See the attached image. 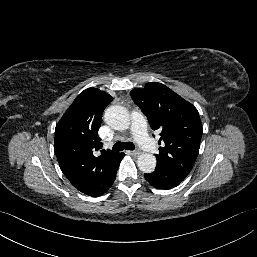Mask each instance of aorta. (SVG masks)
Instances as JSON below:
<instances>
[{
	"mask_svg": "<svg viewBox=\"0 0 257 257\" xmlns=\"http://www.w3.org/2000/svg\"><path fill=\"white\" fill-rule=\"evenodd\" d=\"M105 122L115 130H126L130 126L129 112L122 106H110L104 113ZM156 157L142 153L137 159L138 168L144 173H151L156 167Z\"/></svg>",
	"mask_w": 257,
	"mask_h": 257,
	"instance_id": "762f6f07",
	"label": "aorta"
}]
</instances>
